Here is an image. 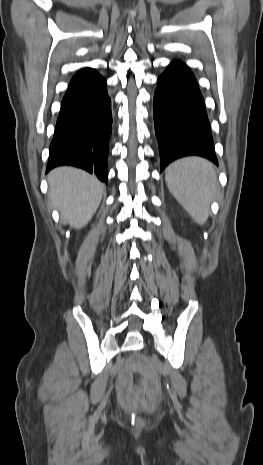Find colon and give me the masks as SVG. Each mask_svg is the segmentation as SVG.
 I'll list each match as a JSON object with an SVG mask.
<instances>
[{"label":"colon","mask_w":263,"mask_h":465,"mask_svg":"<svg viewBox=\"0 0 263 465\" xmlns=\"http://www.w3.org/2000/svg\"><path fill=\"white\" fill-rule=\"evenodd\" d=\"M158 385L154 380H147L137 391V398L146 411H152L156 404Z\"/></svg>","instance_id":"5ec220e1"}]
</instances>
